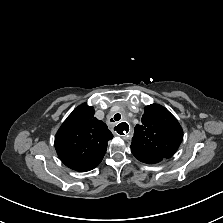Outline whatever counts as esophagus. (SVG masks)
Listing matches in <instances>:
<instances>
[{
	"instance_id": "obj_1",
	"label": "esophagus",
	"mask_w": 223,
	"mask_h": 223,
	"mask_svg": "<svg viewBox=\"0 0 223 223\" xmlns=\"http://www.w3.org/2000/svg\"><path fill=\"white\" fill-rule=\"evenodd\" d=\"M116 128H117L116 131L119 133V135L123 139H128L129 138L130 133H131V128L127 123L122 122Z\"/></svg>"
}]
</instances>
